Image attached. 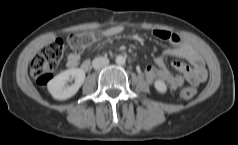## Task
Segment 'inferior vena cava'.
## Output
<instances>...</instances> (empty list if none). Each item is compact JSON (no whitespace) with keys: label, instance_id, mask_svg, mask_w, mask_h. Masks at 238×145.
I'll list each match as a JSON object with an SVG mask.
<instances>
[{"label":"inferior vena cava","instance_id":"obj_1","mask_svg":"<svg viewBox=\"0 0 238 145\" xmlns=\"http://www.w3.org/2000/svg\"><path fill=\"white\" fill-rule=\"evenodd\" d=\"M109 64V59L106 57H96L92 61V66L95 70L101 69Z\"/></svg>","mask_w":238,"mask_h":145}]
</instances>
